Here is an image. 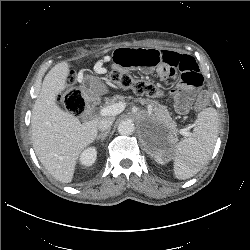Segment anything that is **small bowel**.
Wrapping results in <instances>:
<instances>
[{
	"mask_svg": "<svg viewBox=\"0 0 250 250\" xmlns=\"http://www.w3.org/2000/svg\"><path fill=\"white\" fill-rule=\"evenodd\" d=\"M115 68L138 71L143 74L157 73L161 79L174 78L178 81L179 94L174 107L178 113H186L195 91L203 84V78L195 59L176 51L118 48L113 52Z\"/></svg>",
	"mask_w": 250,
	"mask_h": 250,
	"instance_id": "small-bowel-1",
	"label": "small bowel"
}]
</instances>
